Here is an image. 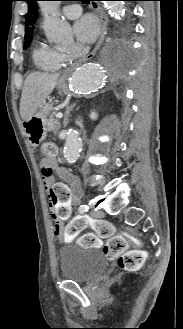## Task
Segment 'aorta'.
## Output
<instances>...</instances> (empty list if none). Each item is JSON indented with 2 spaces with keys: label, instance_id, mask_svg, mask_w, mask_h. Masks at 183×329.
Returning a JSON list of instances; mask_svg holds the SVG:
<instances>
[{
  "label": "aorta",
  "instance_id": "762f6f07",
  "mask_svg": "<svg viewBox=\"0 0 183 329\" xmlns=\"http://www.w3.org/2000/svg\"><path fill=\"white\" fill-rule=\"evenodd\" d=\"M60 1H41L40 7L44 14L43 29L46 37L62 48L69 47L73 42L72 30L67 21L60 18L58 6ZM110 15L120 18L123 15L122 1L105 3ZM107 63L104 59L88 63L77 68L71 76L70 86L75 91L92 93L98 91L104 82ZM82 142L78 133L69 129L65 138L64 157L69 163H74L81 151Z\"/></svg>",
  "mask_w": 183,
  "mask_h": 329
}]
</instances>
